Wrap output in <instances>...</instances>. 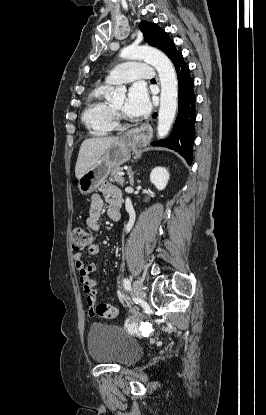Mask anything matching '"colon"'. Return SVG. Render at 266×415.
Masks as SVG:
<instances>
[{
  "label": "colon",
  "instance_id": "1",
  "mask_svg": "<svg viewBox=\"0 0 266 415\" xmlns=\"http://www.w3.org/2000/svg\"><path fill=\"white\" fill-rule=\"evenodd\" d=\"M91 233L85 227H76L72 232V248L79 252L87 247L91 242ZM117 315V310L114 306L108 303H99L92 310V316H97L104 319H112Z\"/></svg>",
  "mask_w": 266,
  "mask_h": 415
}]
</instances>
